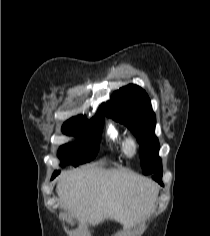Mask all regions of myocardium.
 <instances>
[{
    "label": "myocardium",
    "mask_w": 210,
    "mask_h": 236,
    "mask_svg": "<svg viewBox=\"0 0 210 236\" xmlns=\"http://www.w3.org/2000/svg\"><path fill=\"white\" fill-rule=\"evenodd\" d=\"M138 147H139L138 142L134 137L129 136L125 139L124 151L127 156L129 157L134 156L138 151Z\"/></svg>",
    "instance_id": "1"
}]
</instances>
